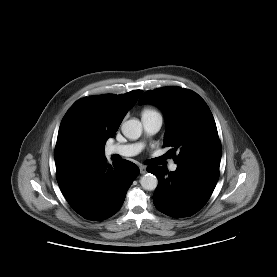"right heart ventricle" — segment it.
<instances>
[{
  "instance_id": "right-heart-ventricle-1",
  "label": "right heart ventricle",
  "mask_w": 277,
  "mask_h": 277,
  "mask_svg": "<svg viewBox=\"0 0 277 277\" xmlns=\"http://www.w3.org/2000/svg\"><path fill=\"white\" fill-rule=\"evenodd\" d=\"M149 116V115H160L155 109L153 108H144L142 111V116Z\"/></svg>"
}]
</instances>
